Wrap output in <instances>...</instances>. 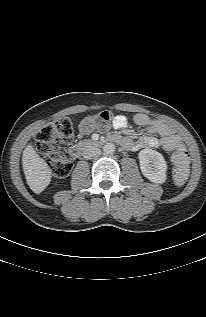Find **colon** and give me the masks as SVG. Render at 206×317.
<instances>
[{
  "instance_id": "5ec220e1",
  "label": "colon",
  "mask_w": 206,
  "mask_h": 317,
  "mask_svg": "<svg viewBox=\"0 0 206 317\" xmlns=\"http://www.w3.org/2000/svg\"><path fill=\"white\" fill-rule=\"evenodd\" d=\"M111 111H101L91 114L81 122L84 132L104 131L113 122ZM73 123L68 117H61L42 127L36 134V145L51 173L57 178L66 177L72 167L71 161L60 149L61 145H68L73 141ZM163 147L172 151L174 164L173 176L177 184H182L188 177L190 157L187 149L176 135L167 137Z\"/></svg>"
}]
</instances>
